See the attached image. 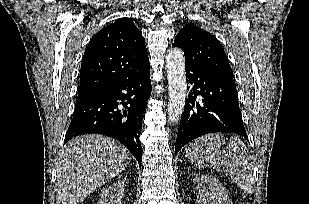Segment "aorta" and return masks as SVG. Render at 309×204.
Instances as JSON below:
<instances>
[{"label": "aorta", "instance_id": "1", "mask_svg": "<svg viewBox=\"0 0 309 204\" xmlns=\"http://www.w3.org/2000/svg\"><path fill=\"white\" fill-rule=\"evenodd\" d=\"M168 76V119L175 124L179 121L185 107L187 83L185 74V57L179 48L170 49L166 56Z\"/></svg>", "mask_w": 309, "mask_h": 204}]
</instances>
